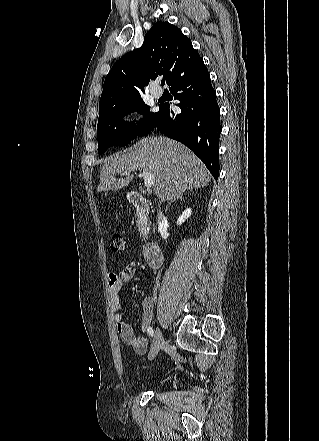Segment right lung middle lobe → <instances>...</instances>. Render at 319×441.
<instances>
[{
    "instance_id": "obj_1",
    "label": "right lung middle lobe",
    "mask_w": 319,
    "mask_h": 441,
    "mask_svg": "<svg viewBox=\"0 0 319 441\" xmlns=\"http://www.w3.org/2000/svg\"><path fill=\"white\" fill-rule=\"evenodd\" d=\"M131 112L144 115L137 129L132 123L123 120ZM158 115L159 112L151 113L149 106L142 100L100 110L97 126L98 153L103 154L111 146L127 145L137 135H146L155 127Z\"/></svg>"
}]
</instances>
